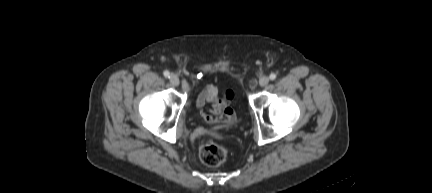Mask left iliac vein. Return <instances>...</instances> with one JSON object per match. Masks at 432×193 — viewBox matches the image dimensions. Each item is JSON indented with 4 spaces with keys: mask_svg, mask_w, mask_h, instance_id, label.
Listing matches in <instances>:
<instances>
[{
    "mask_svg": "<svg viewBox=\"0 0 432 193\" xmlns=\"http://www.w3.org/2000/svg\"><path fill=\"white\" fill-rule=\"evenodd\" d=\"M269 83V78L267 76H263L259 80L260 86H266Z\"/></svg>",
    "mask_w": 432,
    "mask_h": 193,
    "instance_id": "1",
    "label": "left iliac vein"
}]
</instances>
